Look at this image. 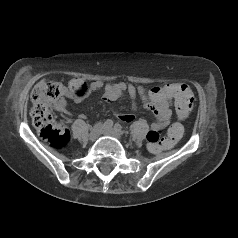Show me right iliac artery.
Instances as JSON below:
<instances>
[{
    "label": "right iliac artery",
    "mask_w": 238,
    "mask_h": 238,
    "mask_svg": "<svg viewBox=\"0 0 238 238\" xmlns=\"http://www.w3.org/2000/svg\"><path fill=\"white\" fill-rule=\"evenodd\" d=\"M113 126V121L111 119H108L104 123L105 128H111Z\"/></svg>",
    "instance_id": "82829eb1"
}]
</instances>
